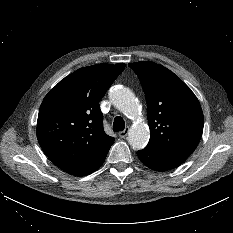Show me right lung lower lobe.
I'll return each instance as SVG.
<instances>
[{"mask_svg":"<svg viewBox=\"0 0 233 233\" xmlns=\"http://www.w3.org/2000/svg\"><path fill=\"white\" fill-rule=\"evenodd\" d=\"M105 158L106 157H104L97 165L93 166L91 169H89L88 171L82 173L79 176H86V175H89V174L93 173L94 171H96L103 164V162L105 161Z\"/></svg>","mask_w":233,"mask_h":233,"instance_id":"1","label":"right lung lower lobe"}]
</instances>
